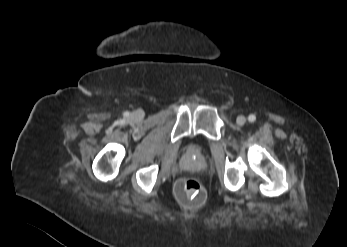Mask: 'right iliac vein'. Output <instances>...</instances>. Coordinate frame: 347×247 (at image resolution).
<instances>
[{
    "label": "right iliac vein",
    "instance_id": "obj_1",
    "mask_svg": "<svg viewBox=\"0 0 347 247\" xmlns=\"http://www.w3.org/2000/svg\"><path fill=\"white\" fill-rule=\"evenodd\" d=\"M141 116V112H136L135 113V117H140Z\"/></svg>",
    "mask_w": 347,
    "mask_h": 247
}]
</instances>
